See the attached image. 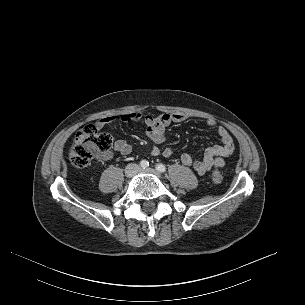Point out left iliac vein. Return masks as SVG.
Returning a JSON list of instances; mask_svg holds the SVG:
<instances>
[{
	"instance_id": "obj_1",
	"label": "left iliac vein",
	"mask_w": 305,
	"mask_h": 305,
	"mask_svg": "<svg viewBox=\"0 0 305 305\" xmlns=\"http://www.w3.org/2000/svg\"><path fill=\"white\" fill-rule=\"evenodd\" d=\"M139 171L140 172H145V173H151V174H154L155 176H157L158 178H161V175L152 168L139 169Z\"/></svg>"
}]
</instances>
